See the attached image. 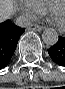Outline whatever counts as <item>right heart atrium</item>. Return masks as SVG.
Listing matches in <instances>:
<instances>
[{
  "mask_svg": "<svg viewBox=\"0 0 65 89\" xmlns=\"http://www.w3.org/2000/svg\"><path fill=\"white\" fill-rule=\"evenodd\" d=\"M19 10L28 17L39 15V13L28 2L20 3Z\"/></svg>",
  "mask_w": 65,
  "mask_h": 89,
  "instance_id": "d8ad5b80",
  "label": "right heart atrium"
}]
</instances>
